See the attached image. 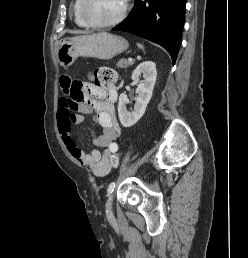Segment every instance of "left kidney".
Segmentation results:
<instances>
[{"label":"left kidney","mask_w":248,"mask_h":258,"mask_svg":"<svg viewBox=\"0 0 248 258\" xmlns=\"http://www.w3.org/2000/svg\"><path fill=\"white\" fill-rule=\"evenodd\" d=\"M141 75H143V81L139 80ZM156 76V64L153 61H144L133 71L131 79L139 84L136 89L137 97L135 98L134 110L132 112H128L126 108L128 103L127 95L122 93L119 96L118 116L123 127L133 126L145 113L147 104L152 97Z\"/></svg>","instance_id":"1"}]
</instances>
